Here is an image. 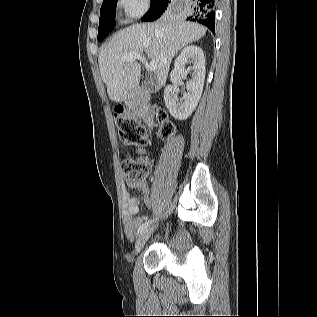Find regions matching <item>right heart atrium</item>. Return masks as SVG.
<instances>
[{"mask_svg":"<svg viewBox=\"0 0 317 317\" xmlns=\"http://www.w3.org/2000/svg\"><path fill=\"white\" fill-rule=\"evenodd\" d=\"M149 0H118L117 7L122 12L125 21L140 18L148 9Z\"/></svg>","mask_w":317,"mask_h":317,"instance_id":"1","label":"right heart atrium"}]
</instances>
